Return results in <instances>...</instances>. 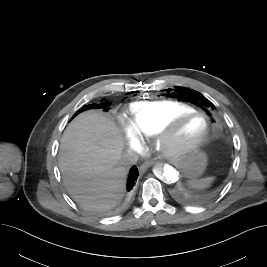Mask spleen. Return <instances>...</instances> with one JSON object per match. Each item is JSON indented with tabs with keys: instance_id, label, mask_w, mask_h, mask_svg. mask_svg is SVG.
<instances>
[{
	"instance_id": "1",
	"label": "spleen",
	"mask_w": 267,
	"mask_h": 267,
	"mask_svg": "<svg viewBox=\"0 0 267 267\" xmlns=\"http://www.w3.org/2000/svg\"><path fill=\"white\" fill-rule=\"evenodd\" d=\"M213 179H214L213 177L193 179L189 181V185L196 189H203L209 187Z\"/></svg>"
}]
</instances>
